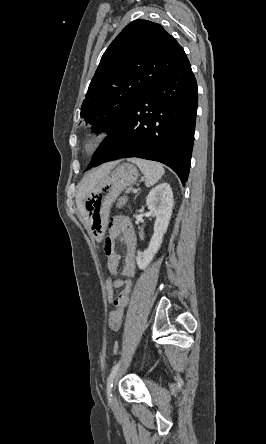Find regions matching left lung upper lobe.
<instances>
[{
	"mask_svg": "<svg viewBox=\"0 0 266 444\" xmlns=\"http://www.w3.org/2000/svg\"><path fill=\"white\" fill-rule=\"evenodd\" d=\"M185 56L160 24L132 21L103 54L82 103L81 117L94 132H111Z\"/></svg>",
	"mask_w": 266,
	"mask_h": 444,
	"instance_id": "obj_1",
	"label": "left lung upper lobe"
}]
</instances>
